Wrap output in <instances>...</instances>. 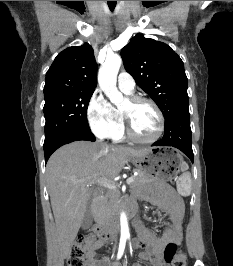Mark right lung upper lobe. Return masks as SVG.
Here are the masks:
<instances>
[{
	"mask_svg": "<svg viewBox=\"0 0 233 266\" xmlns=\"http://www.w3.org/2000/svg\"><path fill=\"white\" fill-rule=\"evenodd\" d=\"M97 64L92 47H69L60 52L46 73L44 97L75 91H94Z\"/></svg>",
	"mask_w": 233,
	"mask_h": 266,
	"instance_id": "cb5924a9",
	"label": "right lung upper lobe"
}]
</instances>
